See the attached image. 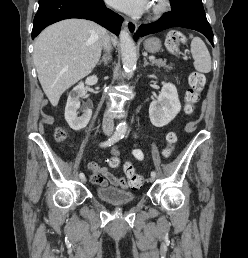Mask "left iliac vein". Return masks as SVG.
Listing matches in <instances>:
<instances>
[{
  "label": "left iliac vein",
  "mask_w": 248,
  "mask_h": 258,
  "mask_svg": "<svg viewBox=\"0 0 248 258\" xmlns=\"http://www.w3.org/2000/svg\"><path fill=\"white\" fill-rule=\"evenodd\" d=\"M154 180H155V177H153V176H151V177L149 178V182H154Z\"/></svg>",
  "instance_id": "obj_1"
}]
</instances>
